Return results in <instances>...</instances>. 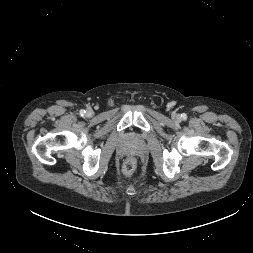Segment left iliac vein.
I'll use <instances>...</instances> for the list:
<instances>
[{
    "label": "left iliac vein",
    "mask_w": 253,
    "mask_h": 253,
    "mask_svg": "<svg viewBox=\"0 0 253 253\" xmlns=\"http://www.w3.org/2000/svg\"><path fill=\"white\" fill-rule=\"evenodd\" d=\"M174 118H175L176 120H179V119H180V116H179V115H175Z\"/></svg>",
    "instance_id": "obj_1"
}]
</instances>
